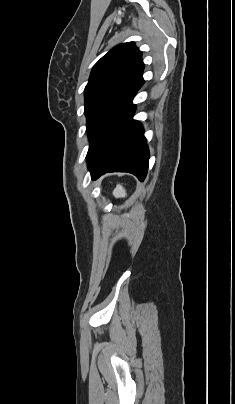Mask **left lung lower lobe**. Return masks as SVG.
Instances as JSON below:
<instances>
[{"mask_svg":"<svg viewBox=\"0 0 235 404\" xmlns=\"http://www.w3.org/2000/svg\"><path fill=\"white\" fill-rule=\"evenodd\" d=\"M135 94L102 125L91 141L86 158L93 180L107 172H129L140 181L146 177L149 150L142 125L132 119Z\"/></svg>","mask_w":235,"mask_h":404,"instance_id":"0a47b994","label":"left lung lower lobe"}]
</instances>
